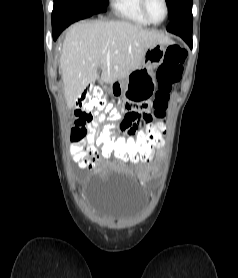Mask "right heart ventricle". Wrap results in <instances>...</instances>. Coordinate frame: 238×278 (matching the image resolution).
<instances>
[{
    "label": "right heart ventricle",
    "instance_id": "e07e8e85",
    "mask_svg": "<svg viewBox=\"0 0 238 278\" xmlns=\"http://www.w3.org/2000/svg\"><path fill=\"white\" fill-rule=\"evenodd\" d=\"M112 7L122 18L142 25L150 24L141 10L140 0H112Z\"/></svg>",
    "mask_w": 238,
    "mask_h": 278
}]
</instances>
